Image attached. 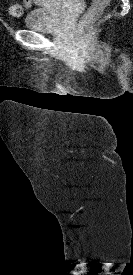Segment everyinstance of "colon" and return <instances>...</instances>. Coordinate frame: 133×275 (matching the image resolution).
Masks as SVG:
<instances>
[{"label": "colon", "instance_id": "colon-1", "mask_svg": "<svg viewBox=\"0 0 133 275\" xmlns=\"http://www.w3.org/2000/svg\"><path fill=\"white\" fill-rule=\"evenodd\" d=\"M108 0H93L90 10L88 11L89 17H97L101 14ZM24 6L27 7L26 4ZM9 13L14 17L21 16L23 13V6L20 4H11L9 6Z\"/></svg>", "mask_w": 133, "mask_h": 275}]
</instances>
